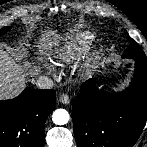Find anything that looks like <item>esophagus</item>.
<instances>
[{
    "label": "esophagus",
    "instance_id": "34e87169",
    "mask_svg": "<svg viewBox=\"0 0 147 147\" xmlns=\"http://www.w3.org/2000/svg\"><path fill=\"white\" fill-rule=\"evenodd\" d=\"M59 101L65 105H67L70 102V98L66 93H62L59 97Z\"/></svg>",
    "mask_w": 147,
    "mask_h": 147
}]
</instances>
